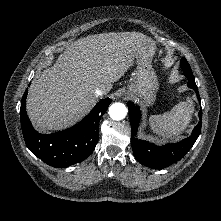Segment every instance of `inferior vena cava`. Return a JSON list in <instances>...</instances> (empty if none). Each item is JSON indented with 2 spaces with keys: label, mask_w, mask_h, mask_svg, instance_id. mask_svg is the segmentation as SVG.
I'll return each instance as SVG.
<instances>
[{
  "label": "inferior vena cava",
  "mask_w": 221,
  "mask_h": 221,
  "mask_svg": "<svg viewBox=\"0 0 221 221\" xmlns=\"http://www.w3.org/2000/svg\"><path fill=\"white\" fill-rule=\"evenodd\" d=\"M103 94H105V92H104L102 89L97 88V89L95 90V96H96V97L102 96Z\"/></svg>",
  "instance_id": "602c4592"
}]
</instances>
